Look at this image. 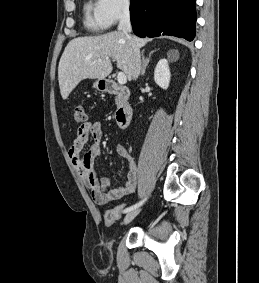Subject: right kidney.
I'll list each match as a JSON object with an SVG mask.
<instances>
[{
    "label": "right kidney",
    "instance_id": "1",
    "mask_svg": "<svg viewBox=\"0 0 259 283\" xmlns=\"http://www.w3.org/2000/svg\"><path fill=\"white\" fill-rule=\"evenodd\" d=\"M170 77L168 61L166 59H161L156 65L154 80L157 85L166 90L169 87Z\"/></svg>",
    "mask_w": 259,
    "mask_h": 283
}]
</instances>
